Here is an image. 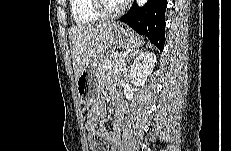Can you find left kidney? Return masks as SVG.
I'll list each match as a JSON object with an SVG mask.
<instances>
[{"instance_id": "1", "label": "left kidney", "mask_w": 231, "mask_h": 151, "mask_svg": "<svg viewBox=\"0 0 231 151\" xmlns=\"http://www.w3.org/2000/svg\"><path fill=\"white\" fill-rule=\"evenodd\" d=\"M156 63V55L152 52H142L130 69L131 82L136 86L144 85Z\"/></svg>"}]
</instances>
